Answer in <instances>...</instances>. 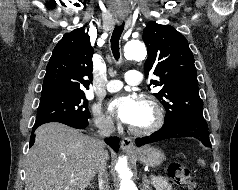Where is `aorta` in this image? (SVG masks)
<instances>
[{"label":"aorta","mask_w":238,"mask_h":190,"mask_svg":"<svg viewBox=\"0 0 238 190\" xmlns=\"http://www.w3.org/2000/svg\"><path fill=\"white\" fill-rule=\"evenodd\" d=\"M146 48L140 40L128 41L124 47V56L128 60H140L146 57ZM116 170L121 178L119 190H137V186L131 180L129 169L126 166V159L120 158Z\"/></svg>","instance_id":"obj_1"}]
</instances>
